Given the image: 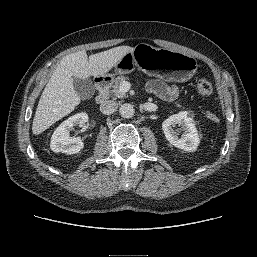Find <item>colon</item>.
<instances>
[{"label": "colon", "instance_id": "5ec220e1", "mask_svg": "<svg viewBox=\"0 0 257 257\" xmlns=\"http://www.w3.org/2000/svg\"><path fill=\"white\" fill-rule=\"evenodd\" d=\"M212 91H213V86L211 82H209L208 80H200L197 83V92L201 96L207 97L212 94ZM206 116L212 122H217L219 120L218 115L214 112H207Z\"/></svg>", "mask_w": 257, "mask_h": 257}]
</instances>
